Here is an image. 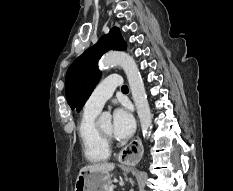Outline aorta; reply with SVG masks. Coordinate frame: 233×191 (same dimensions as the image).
I'll return each instance as SVG.
<instances>
[{"label":"aorta","instance_id":"762f6f07","mask_svg":"<svg viewBox=\"0 0 233 191\" xmlns=\"http://www.w3.org/2000/svg\"><path fill=\"white\" fill-rule=\"evenodd\" d=\"M115 65L122 67L127 76L129 88L140 120L142 133L143 136L148 139L151 135L152 114L138 66L133 57L125 52L118 51L106 53L100 61V68L103 69ZM101 118H110V116L108 114H102Z\"/></svg>","mask_w":233,"mask_h":191}]
</instances>
